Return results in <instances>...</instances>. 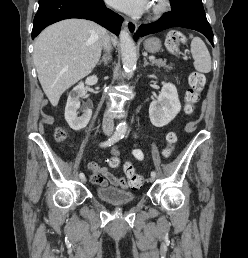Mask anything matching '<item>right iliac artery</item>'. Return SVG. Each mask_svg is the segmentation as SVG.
<instances>
[{
	"mask_svg": "<svg viewBox=\"0 0 248 258\" xmlns=\"http://www.w3.org/2000/svg\"><path fill=\"white\" fill-rule=\"evenodd\" d=\"M122 138V135L119 134V133H115L114 135H112L111 138H109L107 141L103 142L101 144L102 147H107V146H111L113 145L114 143H116L119 139ZM79 177L82 179L85 177L84 173H80L79 174Z\"/></svg>",
	"mask_w": 248,
	"mask_h": 258,
	"instance_id": "obj_1",
	"label": "right iliac artery"
}]
</instances>
